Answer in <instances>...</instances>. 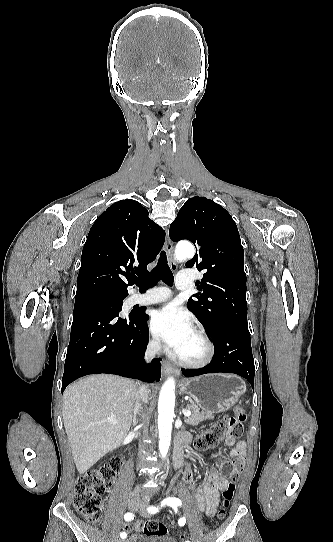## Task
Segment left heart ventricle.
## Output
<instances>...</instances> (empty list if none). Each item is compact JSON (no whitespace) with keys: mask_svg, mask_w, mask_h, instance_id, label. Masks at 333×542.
Here are the masks:
<instances>
[{"mask_svg":"<svg viewBox=\"0 0 333 542\" xmlns=\"http://www.w3.org/2000/svg\"><path fill=\"white\" fill-rule=\"evenodd\" d=\"M203 353L204 347L196 333L193 332L183 341L174 355L182 359L195 360L200 358Z\"/></svg>","mask_w":333,"mask_h":542,"instance_id":"b2bd125f","label":"left heart ventricle"}]
</instances>
